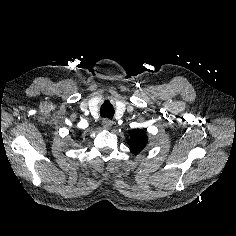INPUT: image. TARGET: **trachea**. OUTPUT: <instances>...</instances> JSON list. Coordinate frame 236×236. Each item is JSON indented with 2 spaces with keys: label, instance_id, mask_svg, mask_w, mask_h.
Masks as SVG:
<instances>
[{
  "label": "trachea",
  "instance_id": "trachea-1",
  "mask_svg": "<svg viewBox=\"0 0 236 236\" xmlns=\"http://www.w3.org/2000/svg\"><path fill=\"white\" fill-rule=\"evenodd\" d=\"M100 115L112 119L114 116V108L109 102H104L100 109Z\"/></svg>",
  "mask_w": 236,
  "mask_h": 236
}]
</instances>
